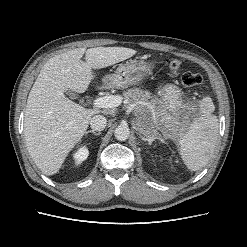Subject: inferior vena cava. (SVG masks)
Returning <instances> with one entry per match:
<instances>
[{
  "label": "inferior vena cava",
  "mask_w": 247,
  "mask_h": 247,
  "mask_svg": "<svg viewBox=\"0 0 247 247\" xmlns=\"http://www.w3.org/2000/svg\"><path fill=\"white\" fill-rule=\"evenodd\" d=\"M107 120L103 115H95L90 119V126L95 131H102L106 127Z\"/></svg>",
  "instance_id": "1"
}]
</instances>
